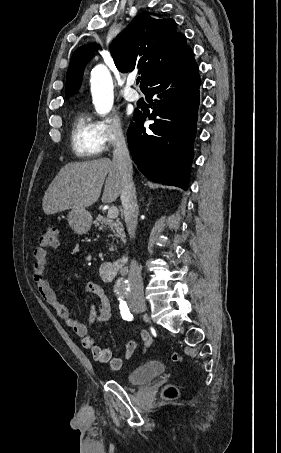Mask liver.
<instances>
[{"instance_id": "1", "label": "liver", "mask_w": 281, "mask_h": 453, "mask_svg": "<svg viewBox=\"0 0 281 453\" xmlns=\"http://www.w3.org/2000/svg\"><path fill=\"white\" fill-rule=\"evenodd\" d=\"M103 184L102 202L116 200L122 190L117 162L110 158L68 162L50 182L43 196V210L55 214L67 208H87L98 200Z\"/></svg>"}]
</instances>
